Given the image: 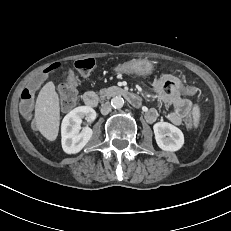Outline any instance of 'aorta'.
Here are the masks:
<instances>
[{"mask_svg": "<svg viewBox=\"0 0 231 231\" xmlns=\"http://www.w3.org/2000/svg\"><path fill=\"white\" fill-rule=\"evenodd\" d=\"M111 105L116 109H120L124 105V99L121 96H115L111 100Z\"/></svg>", "mask_w": 231, "mask_h": 231, "instance_id": "aorta-1", "label": "aorta"}]
</instances>
